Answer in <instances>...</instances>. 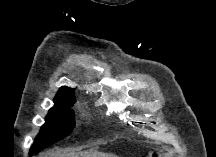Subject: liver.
I'll return each instance as SVG.
<instances>
[{
	"label": "liver",
	"mask_w": 216,
	"mask_h": 157,
	"mask_svg": "<svg viewBox=\"0 0 216 157\" xmlns=\"http://www.w3.org/2000/svg\"><path fill=\"white\" fill-rule=\"evenodd\" d=\"M43 157H111L108 154L101 153H60V152H47L43 154Z\"/></svg>",
	"instance_id": "1"
}]
</instances>
